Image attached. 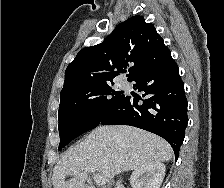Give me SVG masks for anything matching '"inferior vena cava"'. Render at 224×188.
I'll use <instances>...</instances> for the list:
<instances>
[{
    "instance_id": "1",
    "label": "inferior vena cava",
    "mask_w": 224,
    "mask_h": 188,
    "mask_svg": "<svg viewBox=\"0 0 224 188\" xmlns=\"http://www.w3.org/2000/svg\"><path fill=\"white\" fill-rule=\"evenodd\" d=\"M115 188H124L122 183H121V180L117 181Z\"/></svg>"
}]
</instances>
